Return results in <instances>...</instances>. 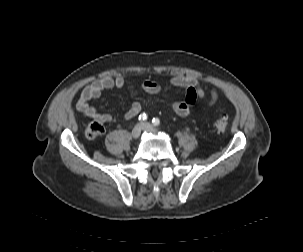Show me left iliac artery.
I'll use <instances>...</instances> for the list:
<instances>
[{"mask_svg": "<svg viewBox=\"0 0 303 252\" xmlns=\"http://www.w3.org/2000/svg\"><path fill=\"white\" fill-rule=\"evenodd\" d=\"M152 124H153L154 126H158V125L160 124V120H159L158 118H153V119H152Z\"/></svg>", "mask_w": 303, "mask_h": 252, "instance_id": "left-iliac-artery-1", "label": "left iliac artery"}]
</instances>
